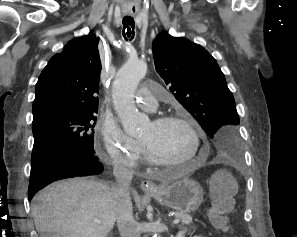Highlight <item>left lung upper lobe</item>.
Listing matches in <instances>:
<instances>
[{
    "label": "left lung upper lobe",
    "instance_id": "1",
    "mask_svg": "<svg viewBox=\"0 0 297 237\" xmlns=\"http://www.w3.org/2000/svg\"><path fill=\"white\" fill-rule=\"evenodd\" d=\"M156 71L212 141L215 155H242L239 115L216 60L202 46L161 32L152 43Z\"/></svg>",
    "mask_w": 297,
    "mask_h": 237
}]
</instances>
